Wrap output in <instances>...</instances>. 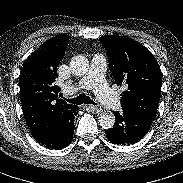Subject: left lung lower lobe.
<instances>
[{"label": "left lung lower lobe", "mask_w": 183, "mask_h": 183, "mask_svg": "<svg viewBox=\"0 0 183 183\" xmlns=\"http://www.w3.org/2000/svg\"><path fill=\"white\" fill-rule=\"evenodd\" d=\"M115 125L108 129L106 137L114 144H134L149 131L151 121L144 116L124 110L115 112Z\"/></svg>", "instance_id": "1"}]
</instances>
